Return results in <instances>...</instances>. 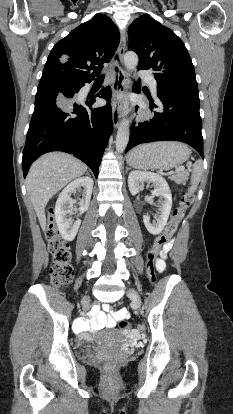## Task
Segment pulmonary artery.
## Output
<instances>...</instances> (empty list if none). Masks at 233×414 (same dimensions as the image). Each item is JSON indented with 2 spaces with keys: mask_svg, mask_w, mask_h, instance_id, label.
Returning a JSON list of instances; mask_svg holds the SVG:
<instances>
[{
  "mask_svg": "<svg viewBox=\"0 0 233 414\" xmlns=\"http://www.w3.org/2000/svg\"><path fill=\"white\" fill-rule=\"evenodd\" d=\"M139 75L149 83L151 90L156 92L157 82L155 78L147 71H141Z\"/></svg>",
  "mask_w": 233,
  "mask_h": 414,
  "instance_id": "obj_1",
  "label": "pulmonary artery"
}]
</instances>
